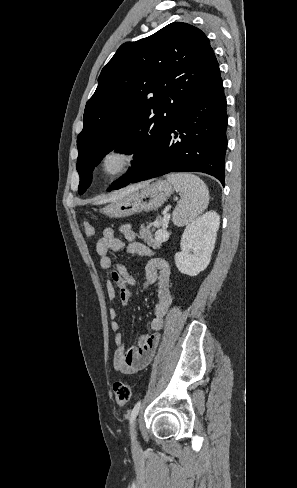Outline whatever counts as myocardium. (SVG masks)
<instances>
[{"mask_svg": "<svg viewBox=\"0 0 297 488\" xmlns=\"http://www.w3.org/2000/svg\"><path fill=\"white\" fill-rule=\"evenodd\" d=\"M115 153H121L124 154L126 157V160L123 164V166L112 173H109L106 170V161L107 158ZM142 157V151L141 148L134 142L131 141H121L115 144H112L111 146L107 147L103 153L100 156L99 159V168L101 173L109 178V179H115L118 177H121L130 171H132L140 162Z\"/></svg>", "mask_w": 297, "mask_h": 488, "instance_id": "obj_1", "label": "myocardium"}]
</instances>
